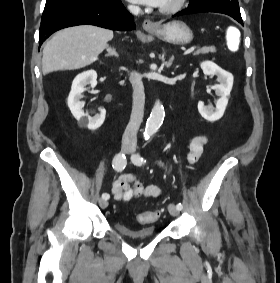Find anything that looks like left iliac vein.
<instances>
[{
    "label": "left iliac vein",
    "instance_id": "4c4485c4",
    "mask_svg": "<svg viewBox=\"0 0 280 283\" xmlns=\"http://www.w3.org/2000/svg\"><path fill=\"white\" fill-rule=\"evenodd\" d=\"M131 152H133V151H131ZM168 211H169L170 215H172L174 217L178 216L179 212H180V210L172 203H170L168 205Z\"/></svg>",
    "mask_w": 280,
    "mask_h": 283
}]
</instances>
